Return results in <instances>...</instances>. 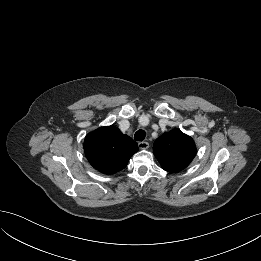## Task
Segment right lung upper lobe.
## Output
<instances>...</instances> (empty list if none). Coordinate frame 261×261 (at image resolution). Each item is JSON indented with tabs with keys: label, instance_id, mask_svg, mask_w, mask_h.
I'll use <instances>...</instances> for the list:
<instances>
[{
	"label": "right lung upper lobe",
	"instance_id": "right-lung-upper-lobe-1",
	"mask_svg": "<svg viewBox=\"0 0 261 261\" xmlns=\"http://www.w3.org/2000/svg\"><path fill=\"white\" fill-rule=\"evenodd\" d=\"M84 151L96 170L114 174L127 166L137 152V143L115 126L100 127L85 137Z\"/></svg>",
	"mask_w": 261,
	"mask_h": 261
}]
</instances>
